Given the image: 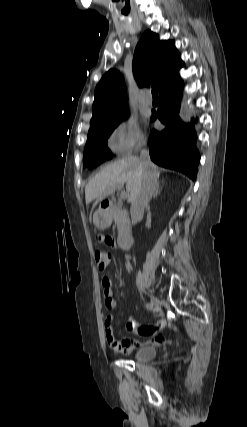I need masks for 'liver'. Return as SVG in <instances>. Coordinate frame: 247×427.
Listing matches in <instances>:
<instances>
[{"label":"liver","mask_w":247,"mask_h":427,"mask_svg":"<svg viewBox=\"0 0 247 427\" xmlns=\"http://www.w3.org/2000/svg\"><path fill=\"white\" fill-rule=\"evenodd\" d=\"M152 172L158 178V167L152 164ZM143 166L140 159L135 156H127L105 166L97 173L85 187L86 204L97 198H105L115 188L126 183V189L130 192L132 201L142 185Z\"/></svg>","instance_id":"1"}]
</instances>
